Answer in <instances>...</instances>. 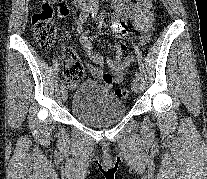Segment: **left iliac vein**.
I'll return each mask as SVG.
<instances>
[{
    "instance_id": "obj_1",
    "label": "left iliac vein",
    "mask_w": 207,
    "mask_h": 179,
    "mask_svg": "<svg viewBox=\"0 0 207 179\" xmlns=\"http://www.w3.org/2000/svg\"><path fill=\"white\" fill-rule=\"evenodd\" d=\"M139 88H140V82H139V79L138 78H134L132 80V89L135 93H138L139 91Z\"/></svg>"
}]
</instances>
